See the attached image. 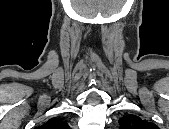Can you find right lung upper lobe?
<instances>
[{
    "label": "right lung upper lobe",
    "mask_w": 169,
    "mask_h": 129,
    "mask_svg": "<svg viewBox=\"0 0 169 129\" xmlns=\"http://www.w3.org/2000/svg\"><path fill=\"white\" fill-rule=\"evenodd\" d=\"M67 127L68 124L58 118H51L41 126L42 129H67Z\"/></svg>",
    "instance_id": "cb5924a9"
}]
</instances>
